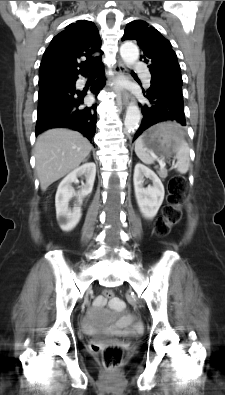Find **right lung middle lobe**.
I'll return each instance as SVG.
<instances>
[{"mask_svg": "<svg viewBox=\"0 0 225 395\" xmlns=\"http://www.w3.org/2000/svg\"><path fill=\"white\" fill-rule=\"evenodd\" d=\"M64 83H65V82H64ZM61 84H62V83H61ZM58 85H60V84H58ZM55 86H57V85L50 86V87L39 88V96L42 95V94H44V93H46L48 90L52 89V88L55 87Z\"/></svg>", "mask_w": 225, "mask_h": 395, "instance_id": "dd1d6c3e", "label": "right lung middle lobe"}]
</instances>
